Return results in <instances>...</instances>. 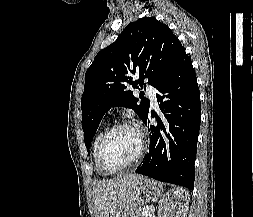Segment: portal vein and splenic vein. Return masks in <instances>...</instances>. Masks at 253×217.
<instances>
[{
	"label": "portal vein and splenic vein",
	"instance_id": "portal-vein-and-splenic-vein-1",
	"mask_svg": "<svg viewBox=\"0 0 253 217\" xmlns=\"http://www.w3.org/2000/svg\"><path fill=\"white\" fill-rule=\"evenodd\" d=\"M149 211H154V207H152V206L149 207V208L147 209V211L144 212V215L146 216V215L148 214Z\"/></svg>",
	"mask_w": 253,
	"mask_h": 217
}]
</instances>
